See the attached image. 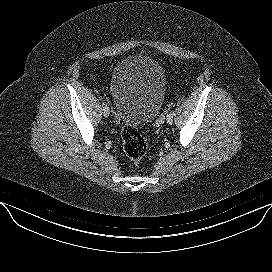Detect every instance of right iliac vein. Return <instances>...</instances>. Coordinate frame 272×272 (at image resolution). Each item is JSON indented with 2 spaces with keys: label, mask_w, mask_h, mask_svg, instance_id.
<instances>
[{
  "label": "right iliac vein",
  "mask_w": 272,
  "mask_h": 272,
  "mask_svg": "<svg viewBox=\"0 0 272 272\" xmlns=\"http://www.w3.org/2000/svg\"><path fill=\"white\" fill-rule=\"evenodd\" d=\"M109 114H110L109 108H108V107L103 108V115H104L105 117H108Z\"/></svg>",
  "instance_id": "63e3f726"
}]
</instances>
